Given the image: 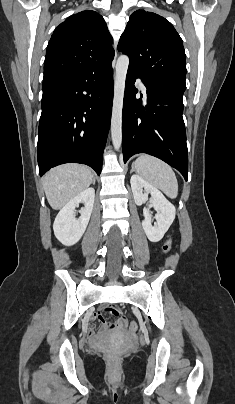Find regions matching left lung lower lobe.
Segmentation results:
<instances>
[{"label":"left lung lower lobe","mask_w":235,"mask_h":404,"mask_svg":"<svg viewBox=\"0 0 235 404\" xmlns=\"http://www.w3.org/2000/svg\"><path fill=\"white\" fill-rule=\"evenodd\" d=\"M139 77L147 88L145 106L141 99H136L134 83ZM183 93L174 87L148 80L128 68L122 113L124 163L134 154L147 153L176 168L187 180Z\"/></svg>","instance_id":"obj_1"}]
</instances>
